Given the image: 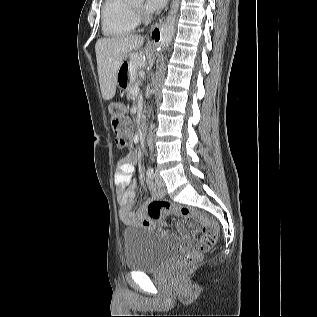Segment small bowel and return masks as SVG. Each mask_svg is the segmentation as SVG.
Segmentation results:
<instances>
[{
    "label": "small bowel",
    "mask_w": 317,
    "mask_h": 317,
    "mask_svg": "<svg viewBox=\"0 0 317 317\" xmlns=\"http://www.w3.org/2000/svg\"><path fill=\"white\" fill-rule=\"evenodd\" d=\"M135 159V153H130L118 163L115 171L120 218L126 225L141 224L145 227L155 229L157 228V223L147 215L146 204L139 209H135L138 198L136 181L132 179ZM148 189L154 198H161L164 195V191L154 186L152 182H148ZM179 232L183 238H187L183 227H179ZM162 233L166 234L165 231H162Z\"/></svg>",
    "instance_id": "c3829d8e"
}]
</instances>
